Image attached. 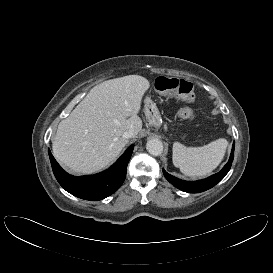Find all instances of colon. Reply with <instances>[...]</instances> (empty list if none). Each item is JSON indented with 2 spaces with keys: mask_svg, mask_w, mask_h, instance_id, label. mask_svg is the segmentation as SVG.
I'll return each instance as SVG.
<instances>
[{
  "mask_svg": "<svg viewBox=\"0 0 273 273\" xmlns=\"http://www.w3.org/2000/svg\"><path fill=\"white\" fill-rule=\"evenodd\" d=\"M156 88L161 93L178 98L186 103H192L195 100L193 84L183 79L159 77L156 80ZM178 115L186 120L194 117V113L189 107L180 108Z\"/></svg>",
  "mask_w": 273,
  "mask_h": 273,
  "instance_id": "obj_1",
  "label": "colon"
}]
</instances>
